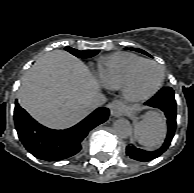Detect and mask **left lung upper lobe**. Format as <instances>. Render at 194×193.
<instances>
[{
    "mask_svg": "<svg viewBox=\"0 0 194 193\" xmlns=\"http://www.w3.org/2000/svg\"><path fill=\"white\" fill-rule=\"evenodd\" d=\"M130 49L133 50V51H138V52H141L143 54L149 55L148 53H146L145 51H143L141 49H136V48H130Z\"/></svg>",
    "mask_w": 194,
    "mask_h": 193,
    "instance_id": "left-lung-upper-lobe-1",
    "label": "left lung upper lobe"
}]
</instances>
